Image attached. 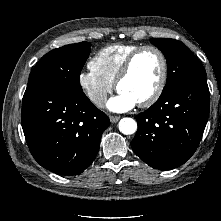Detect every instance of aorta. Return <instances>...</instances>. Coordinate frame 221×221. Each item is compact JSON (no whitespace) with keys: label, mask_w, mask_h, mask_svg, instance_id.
Wrapping results in <instances>:
<instances>
[{"label":"aorta","mask_w":221,"mask_h":221,"mask_svg":"<svg viewBox=\"0 0 221 221\" xmlns=\"http://www.w3.org/2000/svg\"><path fill=\"white\" fill-rule=\"evenodd\" d=\"M119 131L125 135H131L137 130V123L134 119L125 117L119 121Z\"/></svg>","instance_id":"aorta-1"}]
</instances>
